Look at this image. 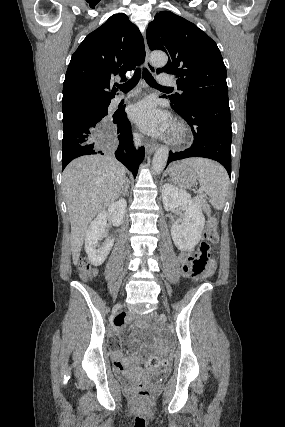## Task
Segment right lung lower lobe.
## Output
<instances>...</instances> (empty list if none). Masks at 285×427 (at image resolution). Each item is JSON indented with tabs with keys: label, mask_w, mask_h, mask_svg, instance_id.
Masks as SVG:
<instances>
[{
	"label": "right lung lower lobe",
	"mask_w": 285,
	"mask_h": 427,
	"mask_svg": "<svg viewBox=\"0 0 285 427\" xmlns=\"http://www.w3.org/2000/svg\"><path fill=\"white\" fill-rule=\"evenodd\" d=\"M102 104L80 108L63 116L62 169L79 156L104 154L102 137L111 130L118 139L116 158L136 176L144 148L135 150L126 113L120 111L107 116Z\"/></svg>",
	"instance_id": "right-lung-lower-lobe-1"
}]
</instances>
